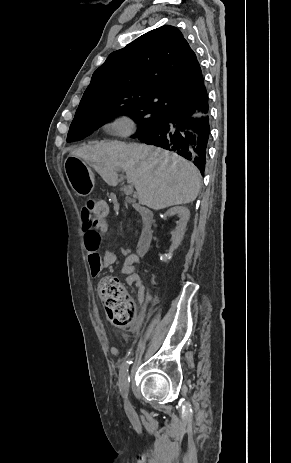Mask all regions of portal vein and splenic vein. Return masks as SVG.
Instances as JSON below:
<instances>
[{
    "label": "portal vein and splenic vein",
    "mask_w": 291,
    "mask_h": 463,
    "mask_svg": "<svg viewBox=\"0 0 291 463\" xmlns=\"http://www.w3.org/2000/svg\"><path fill=\"white\" fill-rule=\"evenodd\" d=\"M133 185H127L124 187V193L126 195H131L133 193Z\"/></svg>",
    "instance_id": "portal-vein-and-splenic-vein-1"
}]
</instances>
